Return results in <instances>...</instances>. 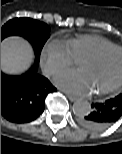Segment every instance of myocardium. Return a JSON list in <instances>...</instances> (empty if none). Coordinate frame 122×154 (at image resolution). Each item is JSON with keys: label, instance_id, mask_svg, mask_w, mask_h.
Returning <instances> with one entry per match:
<instances>
[{"label": "myocardium", "instance_id": "1", "mask_svg": "<svg viewBox=\"0 0 122 154\" xmlns=\"http://www.w3.org/2000/svg\"><path fill=\"white\" fill-rule=\"evenodd\" d=\"M113 51L122 52V47H120V46H109V47H106L104 49L98 50L94 53H90L88 55H85L83 58L87 59V60H99V59L103 58L105 55H107L108 53L113 52ZM120 87H122V75L112 85L108 86L107 88H105L103 90L95 91L94 93L98 96H102V95L109 94L113 91H116Z\"/></svg>", "mask_w": 122, "mask_h": 154}]
</instances>
